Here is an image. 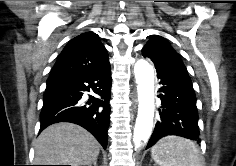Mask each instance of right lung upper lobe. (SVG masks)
<instances>
[{
  "instance_id": "cb5924a9",
  "label": "right lung upper lobe",
  "mask_w": 236,
  "mask_h": 166,
  "mask_svg": "<svg viewBox=\"0 0 236 166\" xmlns=\"http://www.w3.org/2000/svg\"><path fill=\"white\" fill-rule=\"evenodd\" d=\"M110 64L99 36L91 31L69 41L59 55L50 76L95 72Z\"/></svg>"
}]
</instances>
